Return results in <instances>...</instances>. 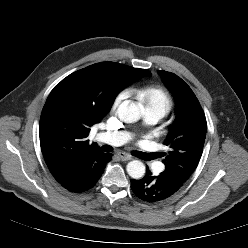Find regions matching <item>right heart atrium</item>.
I'll list each match as a JSON object with an SVG mask.
<instances>
[{
  "label": "right heart atrium",
  "mask_w": 248,
  "mask_h": 248,
  "mask_svg": "<svg viewBox=\"0 0 248 248\" xmlns=\"http://www.w3.org/2000/svg\"><path fill=\"white\" fill-rule=\"evenodd\" d=\"M126 97V92L125 91H120L116 97L114 98L113 101V107H117Z\"/></svg>",
  "instance_id": "1"
}]
</instances>
